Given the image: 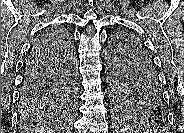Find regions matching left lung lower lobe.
I'll return each mask as SVG.
<instances>
[{"instance_id": "1", "label": "left lung lower lobe", "mask_w": 184, "mask_h": 133, "mask_svg": "<svg viewBox=\"0 0 184 133\" xmlns=\"http://www.w3.org/2000/svg\"><path fill=\"white\" fill-rule=\"evenodd\" d=\"M159 78L156 76L155 77V86L152 85V89L153 91L155 92L156 96H157V104H159L162 100H164L163 98V93H162V87L159 85ZM125 119L127 120V122L129 121V123H134L131 118L127 117V116H124ZM160 118V124H155L153 126H149V128H152V127H164L167 123V117H162L161 115L159 116ZM135 124V123H134Z\"/></svg>"}]
</instances>
